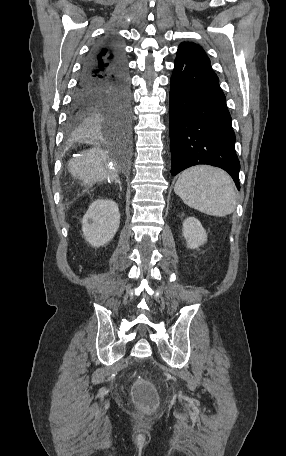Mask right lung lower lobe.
Masks as SVG:
<instances>
[{"label": "right lung lower lobe", "mask_w": 286, "mask_h": 456, "mask_svg": "<svg viewBox=\"0 0 286 456\" xmlns=\"http://www.w3.org/2000/svg\"><path fill=\"white\" fill-rule=\"evenodd\" d=\"M96 49L86 60L74 93L66 125L68 134L103 127L120 138L131 131V95L128 75L123 64H109L99 70ZM126 130L120 134L119 126Z\"/></svg>", "instance_id": "98d812e1"}]
</instances>
